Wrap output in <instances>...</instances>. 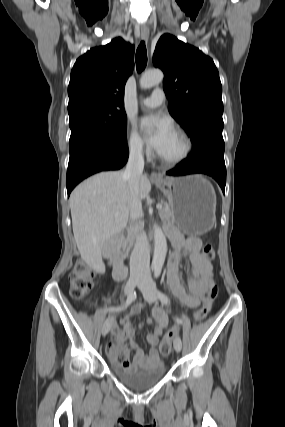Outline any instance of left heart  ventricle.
Instances as JSON below:
<instances>
[{"label":"left heart ventricle","mask_w":285,"mask_h":427,"mask_svg":"<svg viewBox=\"0 0 285 427\" xmlns=\"http://www.w3.org/2000/svg\"><path fill=\"white\" fill-rule=\"evenodd\" d=\"M183 149V140L175 132H172L157 153L164 158H175L183 152Z\"/></svg>","instance_id":"b2bd125f"}]
</instances>
